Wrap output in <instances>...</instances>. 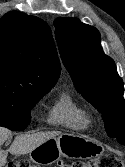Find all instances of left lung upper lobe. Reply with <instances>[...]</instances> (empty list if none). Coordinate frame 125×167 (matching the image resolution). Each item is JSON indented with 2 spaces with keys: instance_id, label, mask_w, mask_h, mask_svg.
Wrapping results in <instances>:
<instances>
[{
  "instance_id": "obj_1",
  "label": "left lung upper lobe",
  "mask_w": 125,
  "mask_h": 167,
  "mask_svg": "<svg viewBox=\"0 0 125 167\" xmlns=\"http://www.w3.org/2000/svg\"><path fill=\"white\" fill-rule=\"evenodd\" d=\"M54 25L61 59L77 91L102 114L108 136L125 145L123 81L103 52L98 30L76 18H57Z\"/></svg>"
}]
</instances>
